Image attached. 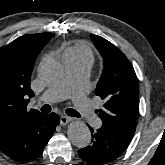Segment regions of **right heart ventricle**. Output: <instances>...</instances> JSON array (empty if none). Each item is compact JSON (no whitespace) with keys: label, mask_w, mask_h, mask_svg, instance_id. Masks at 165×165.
<instances>
[{"label":"right heart ventricle","mask_w":165,"mask_h":165,"mask_svg":"<svg viewBox=\"0 0 165 165\" xmlns=\"http://www.w3.org/2000/svg\"><path fill=\"white\" fill-rule=\"evenodd\" d=\"M63 60L67 62H89L93 61V51L82 42H76L66 47L62 53Z\"/></svg>","instance_id":"right-heart-ventricle-1"}]
</instances>
